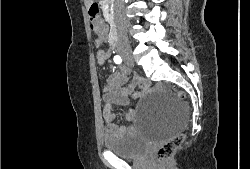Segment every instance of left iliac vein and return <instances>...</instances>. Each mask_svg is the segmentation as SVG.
Listing matches in <instances>:
<instances>
[{"label": "left iliac vein", "mask_w": 250, "mask_h": 169, "mask_svg": "<svg viewBox=\"0 0 250 169\" xmlns=\"http://www.w3.org/2000/svg\"><path fill=\"white\" fill-rule=\"evenodd\" d=\"M129 64H130L131 66H134V62H129Z\"/></svg>", "instance_id": "left-iliac-vein-1"}]
</instances>
